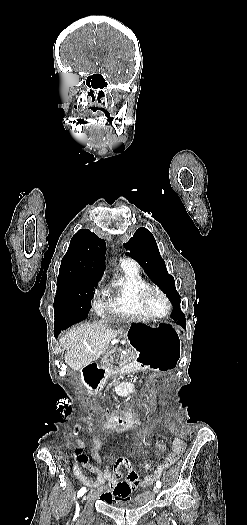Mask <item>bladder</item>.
I'll return each instance as SVG.
<instances>
[{"label": "bladder", "mask_w": 247, "mask_h": 525, "mask_svg": "<svg viewBox=\"0 0 247 525\" xmlns=\"http://www.w3.org/2000/svg\"><path fill=\"white\" fill-rule=\"evenodd\" d=\"M144 496L145 494H140L138 497L136 496L131 500L113 502L112 506L122 511H130L136 508L144 507Z\"/></svg>", "instance_id": "bladder-1"}]
</instances>
